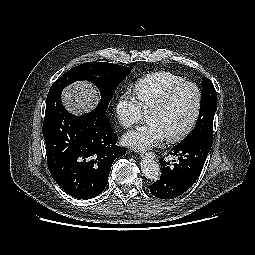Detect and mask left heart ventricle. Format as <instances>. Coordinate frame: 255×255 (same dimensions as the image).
Masks as SVG:
<instances>
[{"label": "left heart ventricle", "mask_w": 255, "mask_h": 255, "mask_svg": "<svg viewBox=\"0 0 255 255\" xmlns=\"http://www.w3.org/2000/svg\"><path fill=\"white\" fill-rule=\"evenodd\" d=\"M196 102V90L190 86L183 87L174 93L163 109L150 113L147 120L157 123L165 136L176 135L190 122Z\"/></svg>", "instance_id": "left-heart-ventricle-1"}]
</instances>
